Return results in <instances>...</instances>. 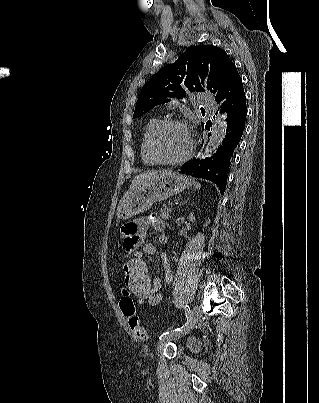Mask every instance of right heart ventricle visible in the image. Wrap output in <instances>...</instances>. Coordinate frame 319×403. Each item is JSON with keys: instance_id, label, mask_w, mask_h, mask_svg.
Segmentation results:
<instances>
[{"instance_id": "1", "label": "right heart ventricle", "mask_w": 319, "mask_h": 403, "mask_svg": "<svg viewBox=\"0 0 319 403\" xmlns=\"http://www.w3.org/2000/svg\"><path fill=\"white\" fill-rule=\"evenodd\" d=\"M161 122L159 117L150 118L145 124L142 132L141 143H140V152L141 158L144 164L146 165H156L157 162L150 156L148 151V140L153 129Z\"/></svg>"}]
</instances>
